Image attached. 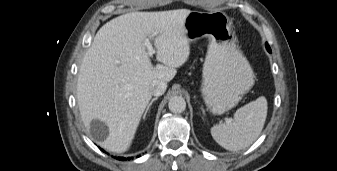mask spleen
Instances as JSON below:
<instances>
[{"mask_svg":"<svg viewBox=\"0 0 337 171\" xmlns=\"http://www.w3.org/2000/svg\"><path fill=\"white\" fill-rule=\"evenodd\" d=\"M267 100L264 96L239 108L233 122L220 123L211 128L213 139L229 151L250 146L259 137L267 117Z\"/></svg>","mask_w":337,"mask_h":171,"instance_id":"3e777b00","label":"spleen"}]
</instances>
